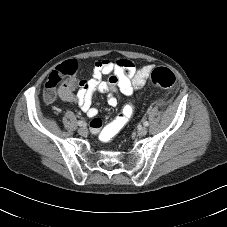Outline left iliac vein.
Listing matches in <instances>:
<instances>
[{
    "mask_svg": "<svg viewBox=\"0 0 227 227\" xmlns=\"http://www.w3.org/2000/svg\"><path fill=\"white\" fill-rule=\"evenodd\" d=\"M137 132L140 136H145L147 134L148 130L146 127H140V128H138Z\"/></svg>",
    "mask_w": 227,
    "mask_h": 227,
    "instance_id": "obj_1",
    "label": "left iliac vein"
}]
</instances>
